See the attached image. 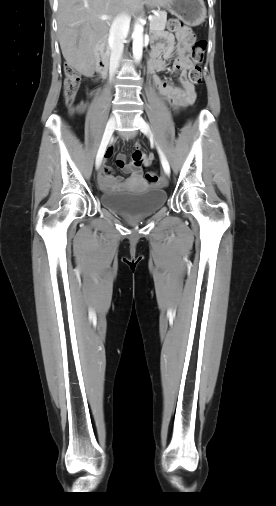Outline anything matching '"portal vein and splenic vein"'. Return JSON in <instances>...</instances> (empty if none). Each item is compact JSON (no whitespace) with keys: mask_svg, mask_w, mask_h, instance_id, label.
Masks as SVG:
<instances>
[{"mask_svg":"<svg viewBox=\"0 0 276 506\" xmlns=\"http://www.w3.org/2000/svg\"><path fill=\"white\" fill-rule=\"evenodd\" d=\"M99 18L101 20H108L109 19V17L107 15H101V16H99ZM152 19H153V16H149V21H152Z\"/></svg>","mask_w":276,"mask_h":506,"instance_id":"portal-vein-and-splenic-vein-1","label":"portal vein and splenic vein"}]
</instances>
